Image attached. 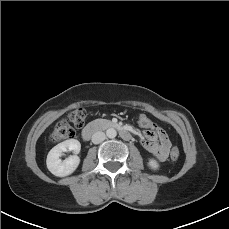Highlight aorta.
Masks as SVG:
<instances>
[{
    "instance_id": "762f6f07",
    "label": "aorta",
    "mask_w": 229,
    "mask_h": 229,
    "mask_svg": "<svg viewBox=\"0 0 229 229\" xmlns=\"http://www.w3.org/2000/svg\"><path fill=\"white\" fill-rule=\"evenodd\" d=\"M106 135L108 138H115L117 136V131L114 128H109L106 131Z\"/></svg>"
}]
</instances>
